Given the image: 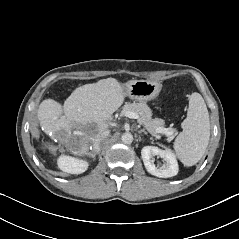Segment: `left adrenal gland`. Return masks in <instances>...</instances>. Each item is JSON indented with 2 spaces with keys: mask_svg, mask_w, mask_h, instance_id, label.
I'll list each match as a JSON object with an SVG mask.
<instances>
[{
  "mask_svg": "<svg viewBox=\"0 0 239 239\" xmlns=\"http://www.w3.org/2000/svg\"><path fill=\"white\" fill-rule=\"evenodd\" d=\"M139 128V127H138ZM144 133V134H147V132L144 130V129H141V130H139V133Z\"/></svg>",
  "mask_w": 239,
  "mask_h": 239,
  "instance_id": "obj_1",
  "label": "left adrenal gland"
}]
</instances>
